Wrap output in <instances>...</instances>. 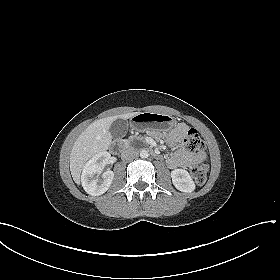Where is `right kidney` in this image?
I'll use <instances>...</instances> for the list:
<instances>
[{
	"instance_id": "obj_1",
	"label": "right kidney",
	"mask_w": 280,
	"mask_h": 280,
	"mask_svg": "<svg viewBox=\"0 0 280 280\" xmlns=\"http://www.w3.org/2000/svg\"><path fill=\"white\" fill-rule=\"evenodd\" d=\"M111 155L106 151L99 152L93 156L84 166L81 182L84 190L92 196L104 194L112 184L114 173L113 171H105L102 175V180H98L95 176L100 174L103 167L108 163Z\"/></svg>"
}]
</instances>
